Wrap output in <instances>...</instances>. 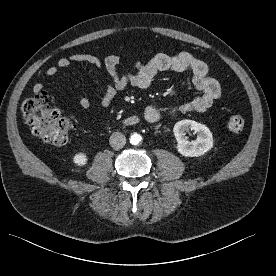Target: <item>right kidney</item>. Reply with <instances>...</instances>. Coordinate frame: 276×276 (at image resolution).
I'll use <instances>...</instances> for the list:
<instances>
[{
    "label": "right kidney",
    "instance_id": "1",
    "mask_svg": "<svg viewBox=\"0 0 276 276\" xmlns=\"http://www.w3.org/2000/svg\"><path fill=\"white\" fill-rule=\"evenodd\" d=\"M88 162V157L85 153L79 152L76 153L73 157V163L76 164L77 166H85Z\"/></svg>",
    "mask_w": 276,
    "mask_h": 276
}]
</instances>
